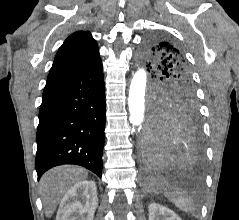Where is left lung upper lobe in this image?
<instances>
[{
    "mask_svg": "<svg viewBox=\"0 0 239 220\" xmlns=\"http://www.w3.org/2000/svg\"><path fill=\"white\" fill-rule=\"evenodd\" d=\"M141 57L159 79L153 89L152 107L176 113L197 112L190 66L176 42L166 36L150 35Z\"/></svg>",
    "mask_w": 239,
    "mask_h": 220,
    "instance_id": "left-lung-upper-lobe-1",
    "label": "left lung upper lobe"
}]
</instances>
